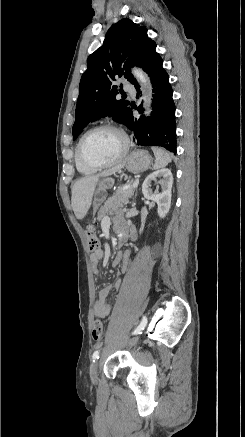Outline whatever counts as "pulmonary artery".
<instances>
[{
	"label": "pulmonary artery",
	"mask_w": 245,
	"mask_h": 437,
	"mask_svg": "<svg viewBox=\"0 0 245 437\" xmlns=\"http://www.w3.org/2000/svg\"><path fill=\"white\" fill-rule=\"evenodd\" d=\"M124 90L129 92L130 94H134L135 90L134 87L131 84L126 83L124 85Z\"/></svg>",
	"instance_id": "e3ab8cb5"
}]
</instances>
